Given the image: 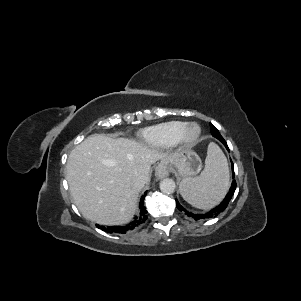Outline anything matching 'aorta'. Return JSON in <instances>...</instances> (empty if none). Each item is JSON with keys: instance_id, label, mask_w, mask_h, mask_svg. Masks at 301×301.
Segmentation results:
<instances>
[{"instance_id": "1", "label": "aorta", "mask_w": 301, "mask_h": 301, "mask_svg": "<svg viewBox=\"0 0 301 301\" xmlns=\"http://www.w3.org/2000/svg\"><path fill=\"white\" fill-rule=\"evenodd\" d=\"M176 184L173 179L165 178L160 182V190L163 193L171 194L175 191Z\"/></svg>"}]
</instances>
